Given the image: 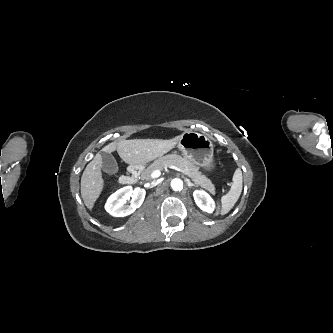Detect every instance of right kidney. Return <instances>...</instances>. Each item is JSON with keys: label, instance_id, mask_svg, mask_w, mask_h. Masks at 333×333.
<instances>
[{"label": "right kidney", "instance_id": "ca27d5eb", "mask_svg": "<svg viewBox=\"0 0 333 333\" xmlns=\"http://www.w3.org/2000/svg\"><path fill=\"white\" fill-rule=\"evenodd\" d=\"M146 191L137 187L133 189L131 186H125L110 195L105 204L106 211L115 217H124L132 214L139 208L144 199ZM132 198L129 206H124L125 202Z\"/></svg>", "mask_w": 333, "mask_h": 333}]
</instances>
